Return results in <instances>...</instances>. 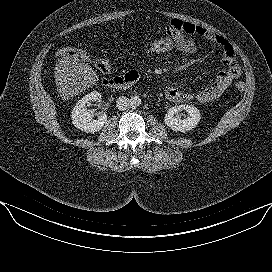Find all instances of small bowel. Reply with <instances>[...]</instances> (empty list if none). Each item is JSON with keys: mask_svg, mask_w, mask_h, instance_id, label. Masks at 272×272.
Listing matches in <instances>:
<instances>
[{"mask_svg": "<svg viewBox=\"0 0 272 272\" xmlns=\"http://www.w3.org/2000/svg\"><path fill=\"white\" fill-rule=\"evenodd\" d=\"M168 37L176 40L185 54L195 52L193 36H198L215 43L222 51L221 62L224 65L219 71L213 83L196 93L182 91L176 86L170 85L165 89L166 97L177 103L187 102L195 99L200 103H208L218 99L231 83L241 75V67L236 59L234 49L230 42L222 35H219L201 25L186 22L178 19L172 20L165 27ZM130 73H135L132 71Z\"/></svg>", "mask_w": 272, "mask_h": 272, "instance_id": "small-bowel-1", "label": "small bowel"}]
</instances>
